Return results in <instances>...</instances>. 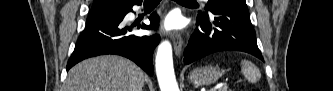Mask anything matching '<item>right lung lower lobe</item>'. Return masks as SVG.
<instances>
[{
	"label": "right lung lower lobe",
	"instance_id": "right-lung-lower-lobe-1",
	"mask_svg": "<svg viewBox=\"0 0 333 91\" xmlns=\"http://www.w3.org/2000/svg\"><path fill=\"white\" fill-rule=\"evenodd\" d=\"M132 11L131 7L121 13L90 15L68 61L67 71L84 59L104 54H116L131 59L152 76L153 50L158 45L160 36L138 37L130 34L136 25H125L123 19L128 12ZM149 19L151 21L149 26L142 24V26L138 25V28L156 29L159 22L158 15L153 13Z\"/></svg>",
	"mask_w": 333,
	"mask_h": 91
}]
</instances>
